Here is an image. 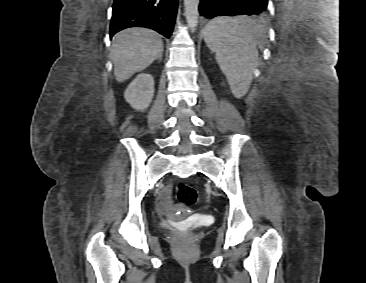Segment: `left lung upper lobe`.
<instances>
[{"label":"left lung upper lobe","mask_w":366,"mask_h":283,"mask_svg":"<svg viewBox=\"0 0 366 283\" xmlns=\"http://www.w3.org/2000/svg\"><path fill=\"white\" fill-rule=\"evenodd\" d=\"M265 1H267V2H268V0H265ZM266 14H267V12H266V13H263V14H261V15H259V16H256V17H254V18H255V19H257V18H264Z\"/></svg>","instance_id":"obj_1"}]
</instances>
